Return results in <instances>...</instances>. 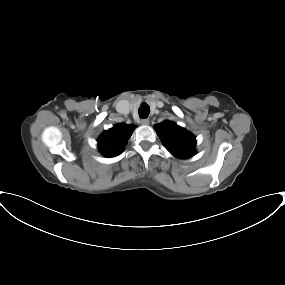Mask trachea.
Listing matches in <instances>:
<instances>
[{"instance_id": "1", "label": "trachea", "mask_w": 285, "mask_h": 285, "mask_svg": "<svg viewBox=\"0 0 285 285\" xmlns=\"http://www.w3.org/2000/svg\"><path fill=\"white\" fill-rule=\"evenodd\" d=\"M138 113L140 118H146L150 113V107L147 104H142L138 109Z\"/></svg>"}]
</instances>
